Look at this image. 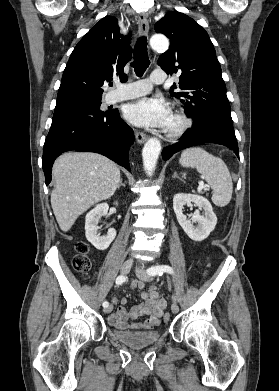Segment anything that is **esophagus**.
Masks as SVG:
<instances>
[{"mask_svg":"<svg viewBox=\"0 0 279 391\" xmlns=\"http://www.w3.org/2000/svg\"><path fill=\"white\" fill-rule=\"evenodd\" d=\"M139 30L142 34H147L149 31V23L147 19V14L142 13L138 17ZM136 140L138 143H144L148 136L140 131H137L135 134Z\"/></svg>","mask_w":279,"mask_h":391,"instance_id":"1","label":"esophagus"}]
</instances>
